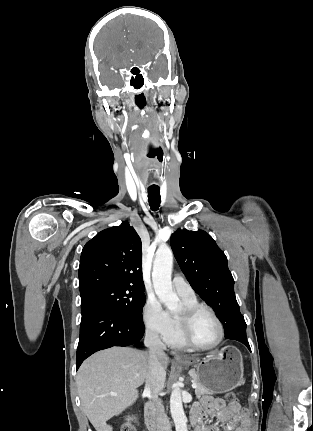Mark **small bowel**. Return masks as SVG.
<instances>
[{
	"mask_svg": "<svg viewBox=\"0 0 313 431\" xmlns=\"http://www.w3.org/2000/svg\"><path fill=\"white\" fill-rule=\"evenodd\" d=\"M191 414L198 418L196 431H252L248 411L239 403L227 405L220 398L204 397L193 407ZM208 417H214L216 424L204 426Z\"/></svg>",
	"mask_w": 313,
	"mask_h": 431,
	"instance_id": "1",
	"label": "small bowel"
}]
</instances>
